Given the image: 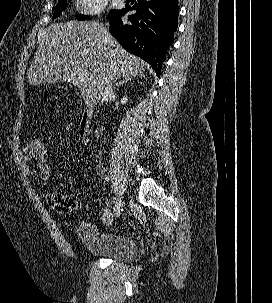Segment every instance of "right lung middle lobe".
<instances>
[{"mask_svg": "<svg viewBox=\"0 0 272 303\" xmlns=\"http://www.w3.org/2000/svg\"><path fill=\"white\" fill-rule=\"evenodd\" d=\"M66 2H67V0H59L58 1L57 7L54 11V15H53L52 19L61 15L62 10H65V8H66ZM117 11L118 10H111L110 13L108 14V17L114 15ZM76 18L78 20H89L90 19V17L84 16V15H77Z\"/></svg>", "mask_w": 272, "mask_h": 303, "instance_id": "dd1d6c3e", "label": "right lung middle lobe"}]
</instances>
